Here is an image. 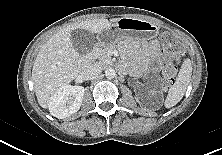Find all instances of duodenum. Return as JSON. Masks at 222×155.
<instances>
[{
  "label": "duodenum",
  "mask_w": 222,
  "mask_h": 155,
  "mask_svg": "<svg viewBox=\"0 0 222 155\" xmlns=\"http://www.w3.org/2000/svg\"><path fill=\"white\" fill-rule=\"evenodd\" d=\"M86 61H87V59H84V60L82 61V63H81V66H84L85 63H86Z\"/></svg>",
  "instance_id": "1"
}]
</instances>
